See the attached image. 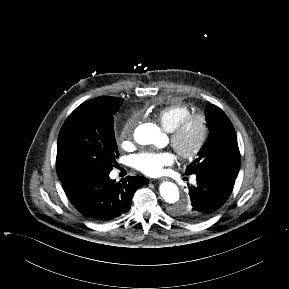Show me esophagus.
<instances>
[{"label": "esophagus", "instance_id": "obj_1", "mask_svg": "<svg viewBox=\"0 0 289 289\" xmlns=\"http://www.w3.org/2000/svg\"><path fill=\"white\" fill-rule=\"evenodd\" d=\"M159 180H160V181H163V180H165V178H160Z\"/></svg>", "mask_w": 289, "mask_h": 289}]
</instances>
